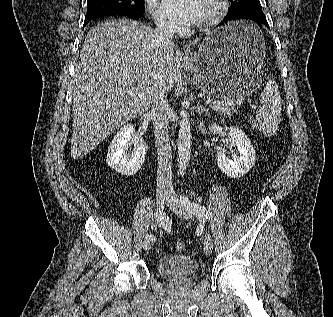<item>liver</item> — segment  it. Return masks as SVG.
Here are the masks:
<instances>
[{
  "instance_id": "6515ba94",
  "label": "liver",
  "mask_w": 333,
  "mask_h": 317,
  "mask_svg": "<svg viewBox=\"0 0 333 317\" xmlns=\"http://www.w3.org/2000/svg\"><path fill=\"white\" fill-rule=\"evenodd\" d=\"M177 66L174 45L161 41L151 27L129 19L93 27L73 77L71 157L86 156L121 125L146 113L158 85L173 88Z\"/></svg>"
}]
</instances>
